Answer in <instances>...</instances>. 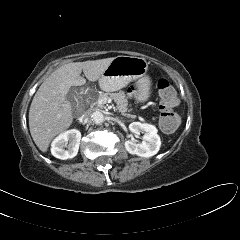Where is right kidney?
I'll return each mask as SVG.
<instances>
[{
    "label": "right kidney",
    "instance_id": "obj_1",
    "mask_svg": "<svg viewBox=\"0 0 240 240\" xmlns=\"http://www.w3.org/2000/svg\"><path fill=\"white\" fill-rule=\"evenodd\" d=\"M80 140L81 133L79 130H68L54 139L51 153L54 157L62 160L73 158L78 153Z\"/></svg>",
    "mask_w": 240,
    "mask_h": 240
}]
</instances>
